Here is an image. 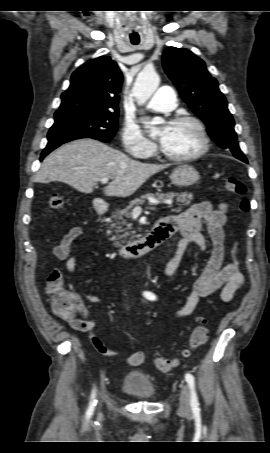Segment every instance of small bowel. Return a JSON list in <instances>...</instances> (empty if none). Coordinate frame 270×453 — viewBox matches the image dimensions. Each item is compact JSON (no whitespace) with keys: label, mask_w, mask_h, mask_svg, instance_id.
<instances>
[{"label":"small bowel","mask_w":270,"mask_h":453,"mask_svg":"<svg viewBox=\"0 0 270 453\" xmlns=\"http://www.w3.org/2000/svg\"><path fill=\"white\" fill-rule=\"evenodd\" d=\"M227 207L226 203H221L215 207L210 202H199L179 214L167 216L163 219L176 230L179 229L182 234L181 240L163 271L164 277L169 278L174 275L189 245L194 244L201 251L207 250L208 242L202 234L203 224L206 226L211 244L210 257L201 274L195 280L193 289L187 296L184 305L174 313L175 320L191 315L201 297L209 296L219 289H221V299L224 302L231 301L234 294L244 283V275L239 270L237 261V243H234L231 247V261L224 264ZM83 234L82 227L74 226L64 234L60 243L53 248L54 256L65 263L66 270L69 273L75 271L78 262V257L71 254L72 244ZM74 296L79 302L77 313L70 317H60L71 328L89 332L91 342L100 353L114 356L115 352L106 347L101 339L92 333L96 327V322L88 317V309L82 302V298H84L91 304H100L101 298L86 292L74 294ZM127 362L131 366H141L146 363V356L142 351H136L128 358Z\"/></svg>","instance_id":"c3829d8e"}]
</instances>
